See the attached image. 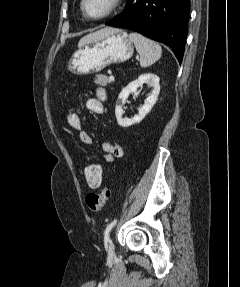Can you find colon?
Instances as JSON below:
<instances>
[{
    "mask_svg": "<svg viewBox=\"0 0 240 287\" xmlns=\"http://www.w3.org/2000/svg\"><path fill=\"white\" fill-rule=\"evenodd\" d=\"M84 176L86 184L91 188H100L97 193H90L86 196L88 208L99 213L103 210L106 202L110 198V190L103 185L102 167L92 157H87L84 166Z\"/></svg>",
    "mask_w": 240,
    "mask_h": 287,
    "instance_id": "obj_1",
    "label": "colon"
}]
</instances>
